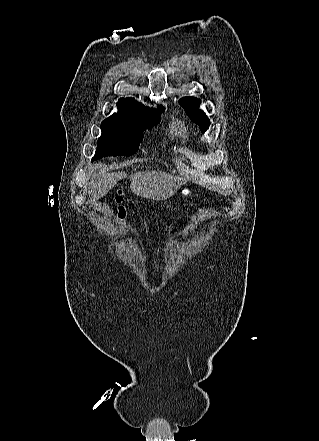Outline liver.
<instances>
[{
    "label": "liver",
    "instance_id": "liver-1",
    "mask_svg": "<svg viewBox=\"0 0 319 441\" xmlns=\"http://www.w3.org/2000/svg\"><path fill=\"white\" fill-rule=\"evenodd\" d=\"M88 194L91 199L105 196L110 189L127 177L125 171L96 173V167L89 173ZM130 188L134 194L153 200H166L173 196L186 182V177L174 176L164 171L146 170L130 175Z\"/></svg>",
    "mask_w": 319,
    "mask_h": 441
}]
</instances>
